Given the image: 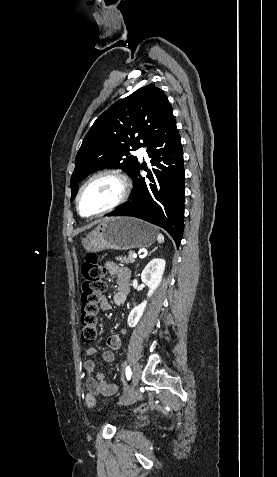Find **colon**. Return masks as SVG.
Masks as SVG:
<instances>
[{"label":"colon","mask_w":277,"mask_h":477,"mask_svg":"<svg viewBox=\"0 0 277 477\" xmlns=\"http://www.w3.org/2000/svg\"><path fill=\"white\" fill-rule=\"evenodd\" d=\"M106 269L99 263L94 253H88L81 266V308L80 322L82 326L81 338L86 343L93 342L98 334V314L104 299L105 290L104 275ZM86 405L93 409L96 406L95 396L91 393L86 395ZM144 406L137 407L133 412H141Z\"/></svg>","instance_id":"obj_1"}]
</instances>
